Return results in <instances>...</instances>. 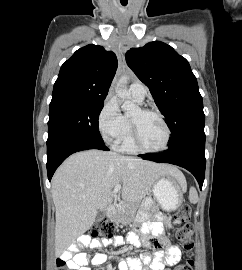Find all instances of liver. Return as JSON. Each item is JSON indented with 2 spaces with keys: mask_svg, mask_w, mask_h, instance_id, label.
Instances as JSON below:
<instances>
[{
  "mask_svg": "<svg viewBox=\"0 0 242 270\" xmlns=\"http://www.w3.org/2000/svg\"><path fill=\"white\" fill-rule=\"evenodd\" d=\"M163 176L185 181L176 167L111 151L87 150L71 155L52 179L56 251L72 244L93 225L98 211L116 197L112 191L116 185L122 184V199L134 204Z\"/></svg>",
  "mask_w": 242,
  "mask_h": 270,
  "instance_id": "1",
  "label": "liver"
}]
</instances>
